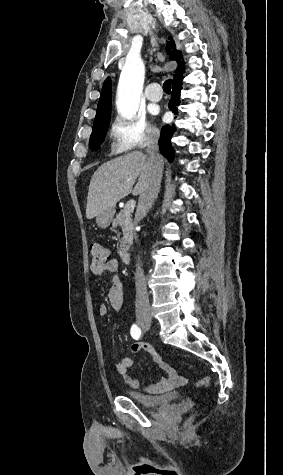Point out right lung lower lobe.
Segmentation results:
<instances>
[{
  "label": "right lung lower lobe",
  "mask_w": 283,
  "mask_h": 475,
  "mask_svg": "<svg viewBox=\"0 0 283 475\" xmlns=\"http://www.w3.org/2000/svg\"><path fill=\"white\" fill-rule=\"evenodd\" d=\"M182 79L183 75L180 74L177 77L173 79V92H172V98L169 102V108L172 110L175 114H177V106L180 104V90L182 89ZM176 131V128L174 126H163L161 129V136L159 139V147H160V152L169 160V162L173 161L174 158V150L173 147L171 146V137L173 136V133Z\"/></svg>",
  "instance_id": "obj_1"
}]
</instances>
